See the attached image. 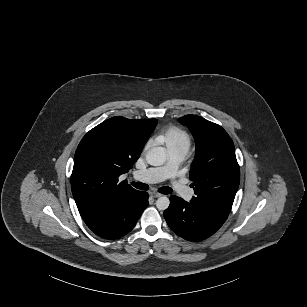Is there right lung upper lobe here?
I'll use <instances>...</instances> for the list:
<instances>
[{
    "label": "right lung upper lobe",
    "mask_w": 307,
    "mask_h": 307,
    "mask_svg": "<svg viewBox=\"0 0 307 307\" xmlns=\"http://www.w3.org/2000/svg\"><path fill=\"white\" fill-rule=\"evenodd\" d=\"M156 119L110 118L91 129L74 156L71 189L81 216L136 191L118 182L138 160L154 131Z\"/></svg>",
    "instance_id": "obj_1"
}]
</instances>
